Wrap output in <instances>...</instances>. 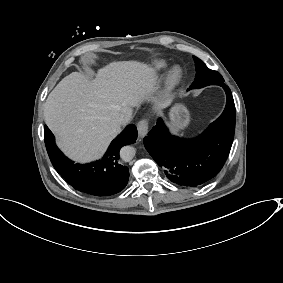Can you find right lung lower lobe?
<instances>
[{"instance_id":"obj_1","label":"right lung lower lobe","mask_w":283,"mask_h":283,"mask_svg":"<svg viewBox=\"0 0 283 283\" xmlns=\"http://www.w3.org/2000/svg\"><path fill=\"white\" fill-rule=\"evenodd\" d=\"M137 139V129L128 125L110 144L102 160L78 164L68 159L56 146L54 135L45 126V145L56 171L78 191L95 195L109 196L123 190L128 183V167L119 163L120 149Z\"/></svg>"}]
</instances>
